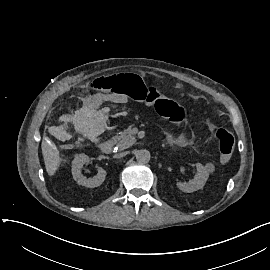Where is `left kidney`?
<instances>
[{
    "instance_id": "obj_1",
    "label": "left kidney",
    "mask_w": 270,
    "mask_h": 270,
    "mask_svg": "<svg viewBox=\"0 0 270 270\" xmlns=\"http://www.w3.org/2000/svg\"><path fill=\"white\" fill-rule=\"evenodd\" d=\"M197 174L195 175L194 179L189 181L188 183L178 182L177 186L183 192L191 193L202 189L209 177V173L207 169L200 163L196 164Z\"/></svg>"
}]
</instances>
